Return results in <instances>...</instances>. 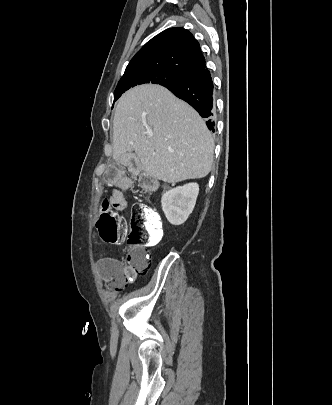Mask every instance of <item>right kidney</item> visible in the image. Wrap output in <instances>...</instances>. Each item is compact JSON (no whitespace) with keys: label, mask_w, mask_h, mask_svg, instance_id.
<instances>
[{"label":"right kidney","mask_w":332,"mask_h":405,"mask_svg":"<svg viewBox=\"0 0 332 405\" xmlns=\"http://www.w3.org/2000/svg\"><path fill=\"white\" fill-rule=\"evenodd\" d=\"M199 193L197 183L170 189L162 195V210L172 225L183 224L192 213Z\"/></svg>","instance_id":"right-kidney-1"}]
</instances>
